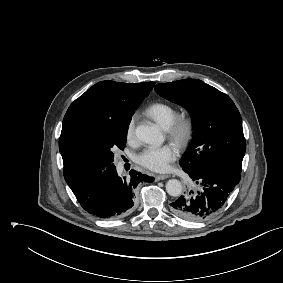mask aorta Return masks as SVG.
<instances>
[{
	"mask_svg": "<svg viewBox=\"0 0 283 283\" xmlns=\"http://www.w3.org/2000/svg\"><path fill=\"white\" fill-rule=\"evenodd\" d=\"M136 137L144 143L161 145L164 141L163 134L154 124H143L136 127ZM166 191L169 195L177 197L182 192V184L177 179H171L166 183Z\"/></svg>",
	"mask_w": 283,
	"mask_h": 283,
	"instance_id": "762f6f07",
	"label": "aorta"
}]
</instances>
